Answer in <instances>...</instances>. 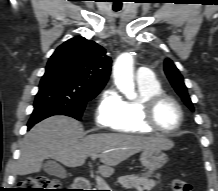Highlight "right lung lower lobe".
I'll return each instance as SVG.
<instances>
[{
  "label": "right lung lower lobe",
  "instance_id": "1",
  "mask_svg": "<svg viewBox=\"0 0 218 191\" xmlns=\"http://www.w3.org/2000/svg\"><path fill=\"white\" fill-rule=\"evenodd\" d=\"M57 112H53L47 109H42L36 113H32V117L28 122V129H30L33 125H35L36 123H38L39 121L52 116V115H57ZM81 119V118H80ZM79 119V120H80Z\"/></svg>",
  "mask_w": 218,
  "mask_h": 191
}]
</instances>
